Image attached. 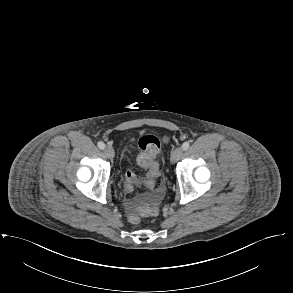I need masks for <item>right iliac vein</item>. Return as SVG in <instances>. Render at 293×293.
<instances>
[{"mask_svg":"<svg viewBox=\"0 0 293 293\" xmlns=\"http://www.w3.org/2000/svg\"><path fill=\"white\" fill-rule=\"evenodd\" d=\"M104 154L109 158V159H113L115 152L114 149L111 146H107L104 148Z\"/></svg>","mask_w":293,"mask_h":293,"instance_id":"63e3f726","label":"right iliac vein"}]
</instances>
